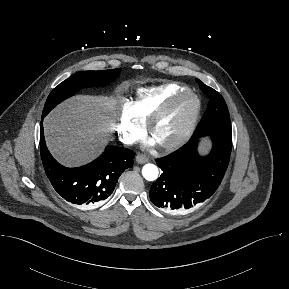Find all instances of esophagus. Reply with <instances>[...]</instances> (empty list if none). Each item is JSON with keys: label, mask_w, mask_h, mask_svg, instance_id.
Masks as SVG:
<instances>
[{"label": "esophagus", "mask_w": 289, "mask_h": 289, "mask_svg": "<svg viewBox=\"0 0 289 289\" xmlns=\"http://www.w3.org/2000/svg\"><path fill=\"white\" fill-rule=\"evenodd\" d=\"M136 161L139 164H144V163L148 162V158L146 156L142 155V154H138L136 156Z\"/></svg>", "instance_id": "1"}]
</instances>
